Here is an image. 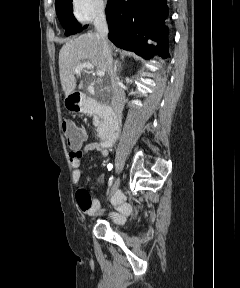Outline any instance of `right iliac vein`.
<instances>
[{
  "instance_id": "obj_1",
  "label": "right iliac vein",
  "mask_w": 240,
  "mask_h": 288,
  "mask_svg": "<svg viewBox=\"0 0 240 288\" xmlns=\"http://www.w3.org/2000/svg\"><path fill=\"white\" fill-rule=\"evenodd\" d=\"M120 185V178H117L114 182V184L112 185L111 187V190L109 192V195H108V199H110V197L114 194V192L118 189Z\"/></svg>"
}]
</instances>
